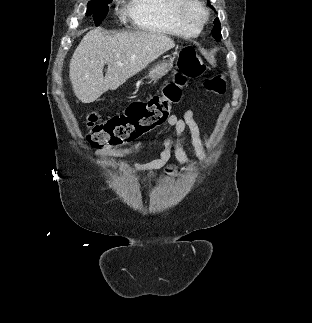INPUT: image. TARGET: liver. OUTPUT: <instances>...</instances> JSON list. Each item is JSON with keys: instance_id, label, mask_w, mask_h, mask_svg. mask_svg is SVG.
Listing matches in <instances>:
<instances>
[{"instance_id": "6515ba94", "label": "liver", "mask_w": 312, "mask_h": 323, "mask_svg": "<svg viewBox=\"0 0 312 323\" xmlns=\"http://www.w3.org/2000/svg\"><path fill=\"white\" fill-rule=\"evenodd\" d=\"M174 46L172 38L159 32L107 34L103 28L90 30L77 46L69 66L76 98L82 104L96 102L104 92L117 90ZM105 64L108 68L103 76Z\"/></svg>"}]
</instances>
